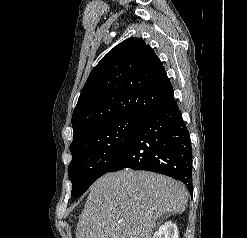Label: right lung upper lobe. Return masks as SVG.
Returning <instances> with one entry per match:
<instances>
[{
    "instance_id": "cb5924a9",
    "label": "right lung upper lobe",
    "mask_w": 247,
    "mask_h": 238,
    "mask_svg": "<svg viewBox=\"0 0 247 238\" xmlns=\"http://www.w3.org/2000/svg\"><path fill=\"white\" fill-rule=\"evenodd\" d=\"M172 98L173 87L153 49L142 39H126L90 73L72 115L74 139L122 116L144 117Z\"/></svg>"
}]
</instances>
